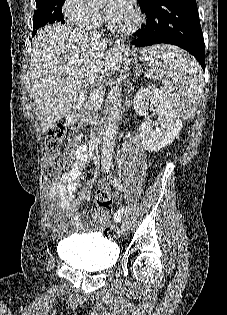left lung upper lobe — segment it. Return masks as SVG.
<instances>
[{"label":"left lung upper lobe","instance_id":"5c2ea615","mask_svg":"<svg viewBox=\"0 0 227 315\" xmlns=\"http://www.w3.org/2000/svg\"><path fill=\"white\" fill-rule=\"evenodd\" d=\"M158 0H138L141 10H146Z\"/></svg>","mask_w":227,"mask_h":315}]
</instances>
